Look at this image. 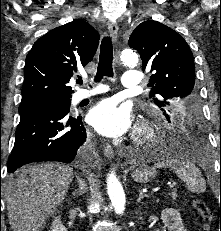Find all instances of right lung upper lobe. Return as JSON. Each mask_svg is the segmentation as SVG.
<instances>
[{
    "mask_svg": "<svg viewBox=\"0 0 221 231\" xmlns=\"http://www.w3.org/2000/svg\"><path fill=\"white\" fill-rule=\"evenodd\" d=\"M99 34L87 22L74 20L39 38L26 57L22 100L71 98V76L94 57Z\"/></svg>",
    "mask_w": 221,
    "mask_h": 231,
    "instance_id": "right-lung-upper-lobe-1",
    "label": "right lung upper lobe"
}]
</instances>
